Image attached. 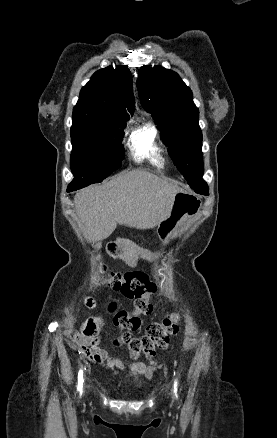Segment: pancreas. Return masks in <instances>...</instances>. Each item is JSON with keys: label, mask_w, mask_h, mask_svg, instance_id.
<instances>
[{"label": "pancreas", "mask_w": 277, "mask_h": 438, "mask_svg": "<svg viewBox=\"0 0 277 438\" xmlns=\"http://www.w3.org/2000/svg\"><path fill=\"white\" fill-rule=\"evenodd\" d=\"M141 240L144 242L146 239L143 237ZM106 244H118V246L121 247L122 242L119 239H110ZM124 245L126 248H129L132 253H138L141 250V247L136 244L134 239H126Z\"/></svg>", "instance_id": "cf45deb5"}]
</instances>
